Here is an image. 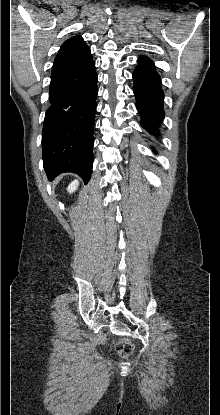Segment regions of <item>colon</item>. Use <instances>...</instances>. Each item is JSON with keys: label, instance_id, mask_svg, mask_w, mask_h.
Masks as SVG:
<instances>
[{"label": "colon", "instance_id": "colon-1", "mask_svg": "<svg viewBox=\"0 0 220 415\" xmlns=\"http://www.w3.org/2000/svg\"><path fill=\"white\" fill-rule=\"evenodd\" d=\"M133 349V344L129 339H121L115 344V350L123 357H129Z\"/></svg>", "mask_w": 220, "mask_h": 415}]
</instances>
